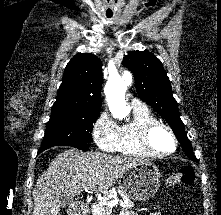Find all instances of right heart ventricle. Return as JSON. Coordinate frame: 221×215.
I'll list each match as a JSON object with an SVG mask.
<instances>
[{"mask_svg":"<svg viewBox=\"0 0 221 215\" xmlns=\"http://www.w3.org/2000/svg\"><path fill=\"white\" fill-rule=\"evenodd\" d=\"M158 121L146 107L134 108L131 122L119 127L116 151L131 156H150L139 143L141 130L149 123Z\"/></svg>","mask_w":221,"mask_h":215,"instance_id":"obj_1","label":"right heart ventricle"}]
</instances>
